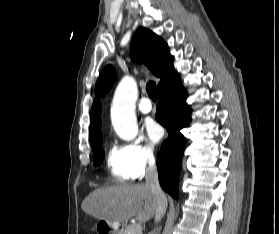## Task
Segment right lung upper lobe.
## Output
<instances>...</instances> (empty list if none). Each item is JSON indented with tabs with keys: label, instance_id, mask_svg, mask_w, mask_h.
<instances>
[{
	"label": "right lung upper lobe",
	"instance_id": "cb5924a9",
	"mask_svg": "<svg viewBox=\"0 0 279 234\" xmlns=\"http://www.w3.org/2000/svg\"><path fill=\"white\" fill-rule=\"evenodd\" d=\"M131 57L135 62H143L156 76L161 80L158 89L169 82L176 74L173 67V56L170 55L168 45L163 39L150 30L140 27L131 43ZM117 76L111 65L106 66L101 72L95 86V94L102 97L112 87ZM101 103L96 98L91 109L90 119V136L91 142L94 144L98 139L102 138L101 125Z\"/></svg>",
	"mask_w": 279,
	"mask_h": 234
}]
</instances>
